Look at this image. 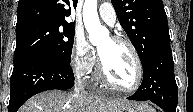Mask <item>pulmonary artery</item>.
I'll list each match as a JSON object with an SVG mask.
<instances>
[{"label":"pulmonary artery","mask_w":193,"mask_h":112,"mask_svg":"<svg viewBox=\"0 0 193 112\" xmlns=\"http://www.w3.org/2000/svg\"><path fill=\"white\" fill-rule=\"evenodd\" d=\"M98 14L100 18L109 26H113L116 22V13L109 2H104L100 5Z\"/></svg>","instance_id":"1"}]
</instances>
